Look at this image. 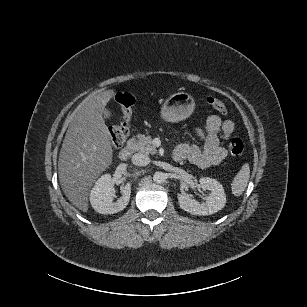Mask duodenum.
<instances>
[{
	"label": "duodenum",
	"instance_id": "obj_1",
	"mask_svg": "<svg viewBox=\"0 0 307 307\" xmlns=\"http://www.w3.org/2000/svg\"><path fill=\"white\" fill-rule=\"evenodd\" d=\"M132 150H133V143L130 142L119 151L118 154L119 159L122 161L128 160L132 154Z\"/></svg>",
	"mask_w": 307,
	"mask_h": 307
}]
</instances>
